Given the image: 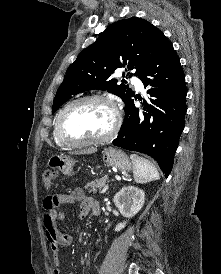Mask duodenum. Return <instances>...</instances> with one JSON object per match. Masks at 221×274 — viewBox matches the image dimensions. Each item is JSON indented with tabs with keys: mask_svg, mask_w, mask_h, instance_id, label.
Wrapping results in <instances>:
<instances>
[{
	"mask_svg": "<svg viewBox=\"0 0 221 274\" xmlns=\"http://www.w3.org/2000/svg\"><path fill=\"white\" fill-rule=\"evenodd\" d=\"M94 214H95V215H99V214H100V209H99V208H96L95 211H94Z\"/></svg>",
	"mask_w": 221,
	"mask_h": 274,
	"instance_id": "obj_1",
	"label": "duodenum"
}]
</instances>
